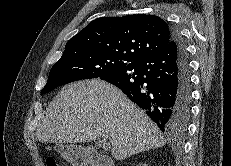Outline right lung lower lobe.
I'll list each match as a JSON object with an SVG mask.
<instances>
[{
    "mask_svg": "<svg viewBox=\"0 0 231 166\" xmlns=\"http://www.w3.org/2000/svg\"><path fill=\"white\" fill-rule=\"evenodd\" d=\"M120 88L168 135L185 133L191 109L188 54L179 32L160 51L100 77Z\"/></svg>",
    "mask_w": 231,
    "mask_h": 166,
    "instance_id": "98d812e1",
    "label": "right lung lower lobe"
}]
</instances>
